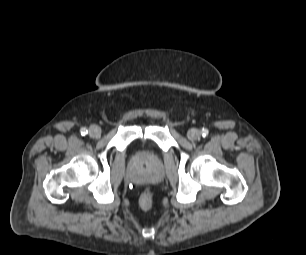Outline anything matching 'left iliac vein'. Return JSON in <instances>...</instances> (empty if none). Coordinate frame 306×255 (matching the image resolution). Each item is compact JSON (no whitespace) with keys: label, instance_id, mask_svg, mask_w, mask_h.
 I'll return each instance as SVG.
<instances>
[{"label":"left iliac vein","instance_id":"4c4485c4","mask_svg":"<svg viewBox=\"0 0 306 255\" xmlns=\"http://www.w3.org/2000/svg\"><path fill=\"white\" fill-rule=\"evenodd\" d=\"M201 136V133L200 131H198L197 129H190L188 132H187V137L189 140L191 141H196L200 138Z\"/></svg>","mask_w":306,"mask_h":255}]
</instances>
